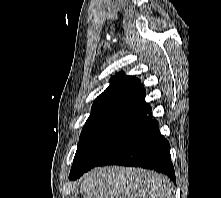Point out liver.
<instances>
[{"label": "liver", "instance_id": "6515ba94", "mask_svg": "<svg viewBox=\"0 0 221 198\" xmlns=\"http://www.w3.org/2000/svg\"><path fill=\"white\" fill-rule=\"evenodd\" d=\"M166 176L153 171L121 167H96L80 184L83 198H174Z\"/></svg>", "mask_w": 221, "mask_h": 198}]
</instances>
